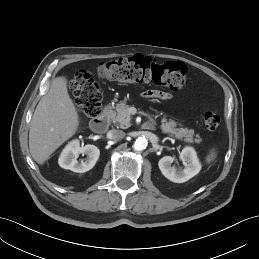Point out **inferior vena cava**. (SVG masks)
<instances>
[{"label":"inferior vena cava","mask_w":259,"mask_h":259,"mask_svg":"<svg viewBox=\"0 0 259 259\" xmlns=\"http://www.w3.org/2000/svg\"><path fill=\"white\" fill-rule=\"evenodd\" d=\"M107 136L113 140H121L125 137V132L122 130L112 129L108 131Z\"/></svg>","instance_id":"inferior-vena-cava-1"}]
</instances>
